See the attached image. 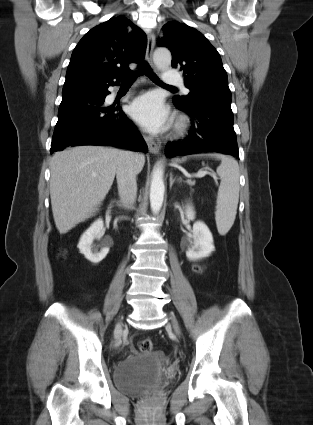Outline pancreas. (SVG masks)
Segmentation results:
<instances>
[{"label": "pancreas", "instance_id": "cf45deb5", "mask_svg": "<svg viewBox=\"0 0 313 425\" xmlns=\"http://www.w3.org/2000/svg\"><path fill=\"white\" fill-rule=\"evenodd\" d=\"M186 183L190 186H194L195 185V181L192 180H187Z\"/></svg>", "mask_w": 313, "mask_h": 425}]
</instances>
